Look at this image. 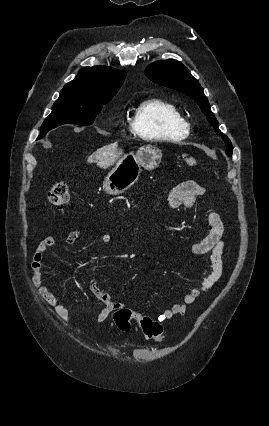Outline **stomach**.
Returning a JSON list of instances; mask_svg holds the SVG:
<instances>
[{
    "label": "stomach",
    "instance_id": "obj_1",
    "mask_svg": "<svg viewBox=\"0 0 269 426\" xmlns=\"http://www.w3.org/2000/svg\"><path fill=\"white\" fill-rule=\"evenodd\" d=\"M161 157V150L151 145L140 147L136 154L125 155L105 178L103 183L105 192L110 195L125 192L136 183L142 168L155 169L160 164Z\"/></svg>",
    "mask_w": 269,
    "mask_h": 426
}]
</instances>
